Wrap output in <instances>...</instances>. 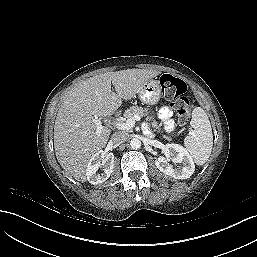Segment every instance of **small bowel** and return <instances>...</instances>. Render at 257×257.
I'll return each instance as SVG.
<instances>
[{
  "mask_svg": "<svg viewBox=\"0 0 257 257\" xmlns=\"http://www.w3.org/2000/svg\"><path fill=\"white\" fill-rule=\"evenodd\" d=\"M170 115H171V111L167 106H162L160 108L159 116L165 122L166 128L168 130H171L173 127L172 121L169 119Z\"/></svg>",
  "mask_w": 257,
  "mask_h": 257,
  "instance_id": "c3829d8e",
  "label": "small bowel"
}]
</instances>
